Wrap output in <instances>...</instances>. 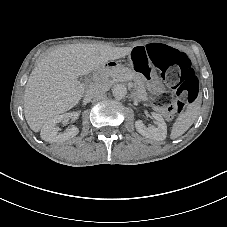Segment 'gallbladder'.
I'll list each match as a JSON object with an SVG mask.
<instances>
[{
	"instance_id": "gallbladder-1",
	"label": "gallbladder",
	"mask_w": 227,
	"mask_h": 227,
	"mask_svg": "<svg viewBox=\"0 0 227 227\" xmlns=\"http://www.w3.org/2000/svg\"><path fill=\"white\" fill-rule=\"evenodd\" d=\"M81 81H82L84 84L89 85V84L93 81V75H92V74H89V75L83 77V78L81 79Z\"/></svg>"
}]
</instances>
